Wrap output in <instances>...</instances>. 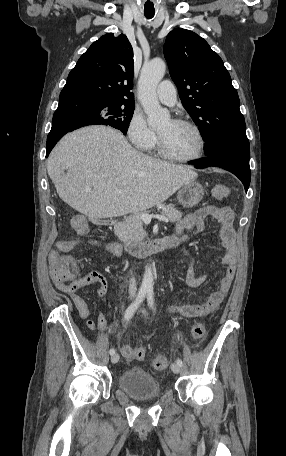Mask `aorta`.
<instances>
[{
  "mask_svg": "<svg viewBox=\"0 0 286 456\" xmlns=\"http://www.w3.org/2000/svg\"><path fill=\"white\" fill-rule=\"evenodd\" d=\"M166 64L162 59H153L143 65L139 82V100L147 115V122L150 126H158L170 119V114L163 109L156 95L158 83L164 77ZM154 277L151 265L145 267L141 289L153 291Z\"/></svg>",
  "mask_w": 286,
  "mask_h": 456,
  "instance_id": "762f6f07",
  "label": "aorta"
}]
</instances>
